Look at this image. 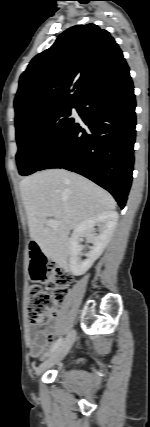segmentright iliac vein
Segmentation results:
<instances>
[{
  "label": "right iliac vein",
  "instance_id": "1",
  "mask_svg": "<svg viewBox=\"0 0 150 427\" xmlns=\"http://www.w3.org/2000/svg\"><path fill=\"white\" fill-rule=\"evenodd\" d=\"M76 333L71 331L60 346L38 367L36 374L39 376L58 361L62 360L75 341Z\"/></svg>",
  "mask_w": 150,
  "mask_h": 427
}]
</instances>
